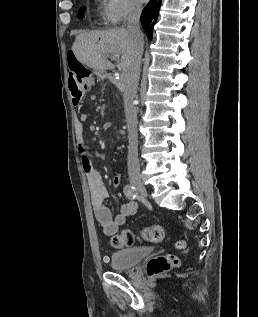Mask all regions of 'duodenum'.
<instances>
[{"label":"duodenum","instance_id":"duodenum-1","mask_svg":"<svg viewBox=\"0 0 258 317\" xmlns=\"http://www.w3.org/2000/svg\"><path fill=\"white\" fill-rule=\"evenodd\" d=\"M67 86L72 98V102L75 105L79 104L86 94V87L83 85L79 77L73 73H69Z\"/></svg>","mask_w":258,"mask_h":317}]
</instances>
